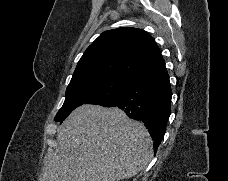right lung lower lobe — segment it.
Wrapping results in <instances>:
<instances>
[{
    "mask_svg": "<svg viewBox=\"0 0 228 181\" xmlns=\"http://www.w3.org/2000/svg\"><path fill=\"white\" fill-rule=\"evenodd\" d=\"M172 91L165 62L153 66L132 78L112 99L99 105L118 107L148 129L156 153L166 132L171 113Z\"/></svg>",
    "mask_w": 228,
    "mask_h": 181,
    "instance_id": "98d812e1",
    "label": "right lung lower lobe"
}]
</instances>
